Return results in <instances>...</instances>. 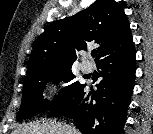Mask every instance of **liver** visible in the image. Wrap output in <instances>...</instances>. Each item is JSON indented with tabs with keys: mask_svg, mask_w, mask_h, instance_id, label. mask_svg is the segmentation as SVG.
<instances>
[{
	"mask_svg": "<svg viewBox=\"0 0 153 134\" xmlns=\"http://www.w3.org/2000/svg\"><path fill=\"white\" fill-rule=\"evenodd\" d=\"M13 134H79V132L68 124L49 120L27 124L16 129Z\"/></svg>",
	"mask_w": 153,
	"mask_h": 134,
	"instance_id": "6515ba94",
	"label": "liver"
}]
</instances>
